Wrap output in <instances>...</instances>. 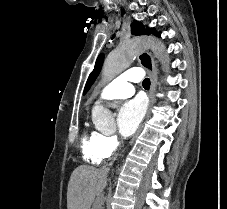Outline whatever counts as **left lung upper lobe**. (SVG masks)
Wrapping results in <instances>:
<instances>
[{
    "instance_id": "5c2ea615",
    "label": "left lung upper lobe",
    "mask_w": 227,
    "mask_h": 209,
    "mask_svg": "<svg viewBox=\"0 0 227 209\" xmlns=\"http://www.w3.org/2000/svg\"><path fill=\"white\" fill-rule=\"evenodd\" d=\"M131 32L134 35H145V34L149 35L150 33H152L154 35L159 36V34L156 32V30L154 28L145 29L144 26L138 21H134L131 24ZM103 60H104V55L100 54L98 56L97 60H96L94 70L91 72V74L88 77V80H87V83H86V86H85L83 94H85L89 90V88L91 87L92 83L94 82V80L98 76V74H99V72L101 70L102 64H103Z\"/></svg>"
}]
</instances>
